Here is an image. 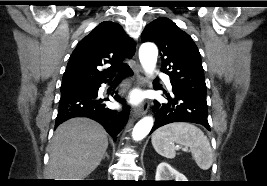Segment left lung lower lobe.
<instances>
[{"label":"left lung lower lobe","mask_w":267,"mask_h":186,"mask_svg":"<svg viewBox=\"0 0 267 186\" xmlns=\"http://www.w3.org/2000/svg\"><path fill=\"white\" fill-rule=\"evenodd\" d=\"M164 93L168 103L154 101L155 123L150 133L173 122L197 123L210 130L206 97L186 92L178 87L172 88L171 96Z\"/></svg>","instance_id":"left-lung-lower-lobe-1"}]
</instances>
